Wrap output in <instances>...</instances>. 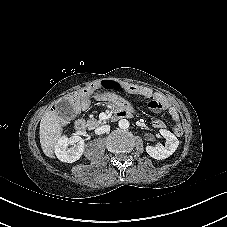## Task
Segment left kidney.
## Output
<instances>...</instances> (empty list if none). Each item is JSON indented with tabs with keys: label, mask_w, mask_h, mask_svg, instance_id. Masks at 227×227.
Masks as SVG:
<instances>
[{
	"label": "left kidney",
	"mask_w": 227,
	"mask_h": 227,
	"mask_svg": "<svg viewBox=\"0 0 227 227\" xmlns=\"http://www.w3.org/2000/svg\"><path fill=\"white\" fill-rule=\"evenodd\" d=\"M159 132L164 138H166L165 146L161 144L154 147L148 146L146 151L152 158L162 160L168 158L176 151L179 146V140L167 129H160Z\"/></svg>",
	"instance_id": "5707ae66"
}]
</instances>
